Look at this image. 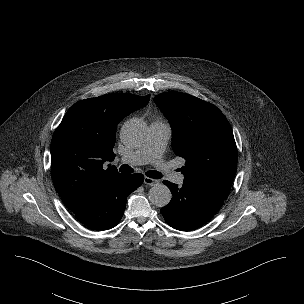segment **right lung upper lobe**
I'll list each match as a JSON object with an SVG mask.
<instances>
[{
    "instance_id": "obj_1",
    "label": "right lung upper lobe",
    "mask_w": 304,
    "mask_h": 304,
    "mask_svg": "<svg viewBox=\"0 0 304 304\" xmlns=\"http://www.w3.org/2000/svg\"><path fill=\"white\" fill-rule=\"evenodd\" d=\"M150 95L107 94L75 103L65 114L51 141V172L65 203L76 212L85 206L110 176L116 128L130 113L144 107Z\"/></svg>"
}]
</instances>
